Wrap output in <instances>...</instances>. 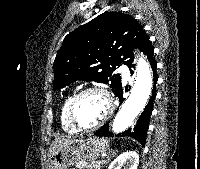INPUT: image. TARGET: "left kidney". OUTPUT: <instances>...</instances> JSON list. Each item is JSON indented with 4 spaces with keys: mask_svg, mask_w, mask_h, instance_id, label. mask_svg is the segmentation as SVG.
I'll list each match as a JSON object with an SVG mask.
<instances>
[{
    "mask_svg": "<svg viewBox=\"0 0 200 169\" xmlns=\"http://www.w3.org/2000/svg\"><path fill=\"white\" fill-rule=\"evenodd\" d=\"M139 164V155L135 151H126L114 159L108 169H137Z\"/></svg>",
    "mask_w": 200,
    "mask_h": 169,
    "instance_id": "5707ae66",
    "label": "left kidney"
}]
</instances>
